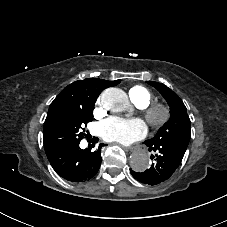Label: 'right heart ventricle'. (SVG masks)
Segmentation results:
<instances>
[{
    "instance_id": "1",
    "label": "right heart ventricle",
    "mask_w": 227,
    "mask_h": 227,
    "mask_svg": "<svg viewBox=\"0 0 227 227\" xmlns=\"http://www.w3.org/2000/svg\"><path fill=\"white\" fill-rule=\"evenodd\" d=\"M128 94L132 101L140 108H144L152 100L151 92L142 86L131 87Z\"/></svg>"
}]
</instances>
